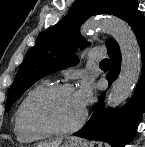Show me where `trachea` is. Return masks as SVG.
I'll return each mask as SVG.
<instances>
[{
	"label": "trachea",
	"instance_id": "1",
	"mask_svg": "<svg viewBox=\"0 0 145 147\" xmlns=\"http://www.w3.org/2000/svg\"><path fill=\"white\" fill-rule=\"evenodd\" d=\"M100 64L108 65V64H110V61H109V59H104L103 61L100 62Z\"/></svg>",
	"mask_w": 145,
	"mask_h": 147
}]
</instances>
